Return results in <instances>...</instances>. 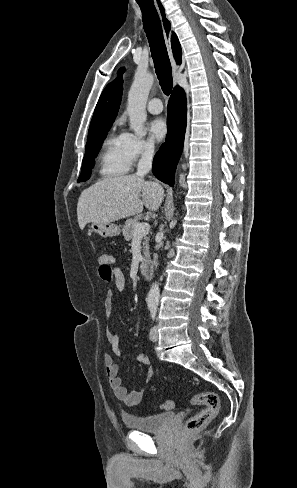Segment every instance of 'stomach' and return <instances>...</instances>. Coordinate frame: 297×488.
Wrapping results in <instances>:
<instances>
[{
    "instance_id": "0dacf381",
    "label": "stomach",
    "mask_w": 297,
    "mask_h": 488,
    "mask_svg": "<svg viewBox=\"0 0 297 488\" xmlns=\"http://www.w3.org/2000/svg\"><path fill=\"white\" fill-rule=\"evenodd\" d=\"M90 228L92 229L93 232L98 233L100 236L106 238V237H112V236H118L120 234V228L119 226L113 224V223H92L90 225Z\"/></svg>"
}]
</instances>
